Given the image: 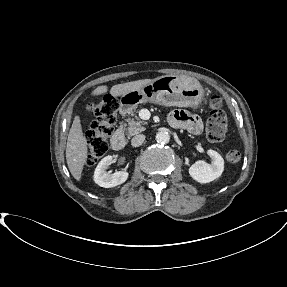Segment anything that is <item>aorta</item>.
Listing matches in <instances>:
<instances>
[{"instance_id":"obj_1","label":"aorta","mask_w":287,"mask_h":287,"mask_svg":"<svg viewBox=\"0 0 287 287\" xmlns=\"http://www.w3.org/2000/svg\"><path fill=\"white\" fill-rule=\"evenodd\" d=\"M155 139L160 144H167L170 141V135L166 131H159L156 134Z\"/></svg>"}]
</instances>
